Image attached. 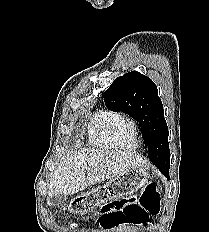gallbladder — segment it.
Returning a JSON list of instances; mask_svg holds the SVG:
<instances>
[{"mask_svg":"<svg viewBox=\"0 0 209 232\" xmlns=\"http://www.w3.org/2000/svg\"><path fill=\"white\" fill-rule=\"evenodd\" d=\"M65 200H66L65 195H63V194L57 195V196L51 198L50 205L51 206H58V205H61L62 203H64Z\"/></svg>","mask_w":209,"mask_h":232,"instance_id":"1","label":"gallbladder"}]
</instances>
